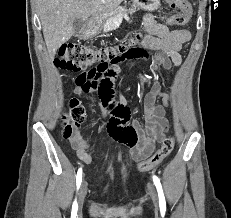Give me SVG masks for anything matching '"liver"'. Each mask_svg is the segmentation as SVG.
I'll list each match as a JSON object with an SVG mask.
<instances>
[{
  "label": "liver",
  "mask_w": 231,
  "mask_h": 218,
  "mask_svg": "<svg viewBox=\"0 0 231 218\" xmlns=\"http://www.w3.org/2000/svg\"><path fill=\"white\" fill-rule=\"evenodd\" d=\"M123 0H37L43 35L51 59L74 34L73 21L111 16Z\"/></svg>",
  "instance_id": "1"
}]
</instances>
